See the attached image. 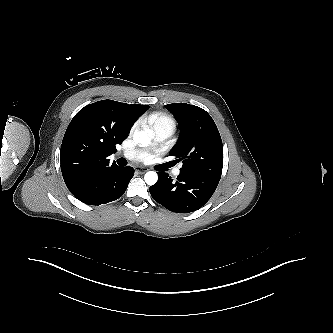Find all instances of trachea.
<instances>
[{"label":"trachea","mask_w":333,"mask_h":333,"mask_svg":"<svg viewBox=\"0 0 333 333\" xmlns=\"http://www.w3.org/2000/svg\"><path fill=\"white\" fill-rule=\"evenodd\" d=\"M118 162H119L120 165H124L125 164L124 161L121 160V159H119Z\"/></svg>","instance_id":"3493384b"}]
</instances>
